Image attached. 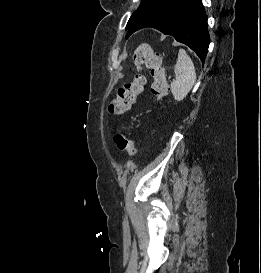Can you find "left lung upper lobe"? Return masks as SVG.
Returning a JSON list of instances; mask_svg holds the SVG:
<instances>
[{
	"mask_svg": "<svg viewBox=\"0 0 261 273\" xmlns=\"http://www.w3.org/2000/svg\"><path fill=\"white\" fill-rule=\"evenodd\" d=\"M166 1L167 0H141L139 8L130 17L126 26V30L129 29L138 19H140L150 10Z\"/></svg>",
	"mask_w": 261,
	"mask_h": 273,
	"instance_id": "1",
	"label": "left lung upper lobe"
}]
</instances>
